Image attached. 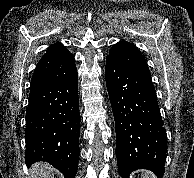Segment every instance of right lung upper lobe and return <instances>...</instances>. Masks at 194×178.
<instances>
[{
	"label": "right lung upper lobe",
	"instance_id": "obj_1",
	"mask_svg": "<svg viewBox=\"0 0 194 178\" xmlns=\"http://www.w3.org/2000/svg\"><path fill=\"white\" fill-rule=\"evenodd\" d=\"M76 71L74 56L60 42L51 45L38 62L30 88L64 80Z\"/></svg>",
	"mask_w": 194,
	"mask_h": 178
}]
</instances>
